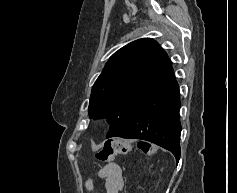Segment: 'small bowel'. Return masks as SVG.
I'll return each instance as SVG.
<instances>
[{
  "mask_svg": "<svg viewBox=\"0 0 237 193\" xmlns=\"http://www.w3.org/2000/svg\"><path fill=\"white\" fill-rule=\"evenodd\" d=\"M99 177L105 181L106 193H120L124 188V178L122 169L117 163H110L102 167L98 173ZM94 187L93 181L89 180L86 183V188L92 190Z\"/></svg>",
  "mask_w": 237,
  "mask_h": 193,
  "instance_id": "1",
  "label": "small bowel"
}]
</instances>
